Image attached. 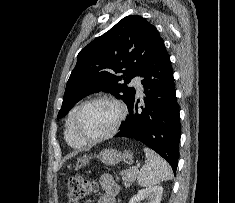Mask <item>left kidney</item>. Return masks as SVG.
<instances>
[{"mask_svg": "<svg viewBox=\"0 0 235 203\" xmlns=\"http://www.w3.org/2000/svg\"><path fill=\"white\" fill-rule=\"evenodd\" d=\"M163 194L162 186H153L139 190L129 201V203H140L146 199L145 203H160Z\"/></svg>", "mask_w": 235, "mask_h": 203, "instance_id": "5707ae66", "label": "left kidney"}]
</instances>
